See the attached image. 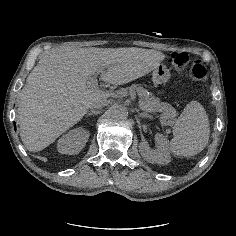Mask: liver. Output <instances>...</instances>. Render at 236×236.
Segmentation results:
<instances>
[{
  "label": "liver",
  "instance_id": "obj_1",
  "mask_svg": "<svg viewBox=\"0 0 236 236\" xmlns=\"http://www.w3.org/2000/svg\"><path fill=\"white\" fill-rule=\"evenodd\" d=\"M151 50L142 48L66 47L39 59L22 88L18 106L20 136L29 151L38 152L79 122L87 110L109 93L88 87L98 73L112 85L129 83L148 73L141 65Z\"/></svg>",
  "mask_w": 236,
  "mask_h": 236
}]
</instances>
